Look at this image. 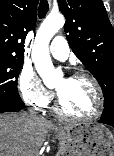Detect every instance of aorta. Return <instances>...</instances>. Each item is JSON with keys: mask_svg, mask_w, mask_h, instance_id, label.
Segmentation results:
<instances>
[{"mask_svg": "<svg viewBox=\"0 0 114 156\" xmlns=\"http://www.w3.org/2000/svg\"><path fill=\"white\" fill-rule=\"evenodd\" d=\"M64 22L63 15L50 14L43 21L36 34L32 60L45 85L54 83L58 76L61 75V72L56 71L53 67L49 54V42L59 29L63 27Z\"/></svg>", "mask_w": 114, "mask_h": 156, "instance_id": "762f6f07", "label": "aorta"}]
</instances>
